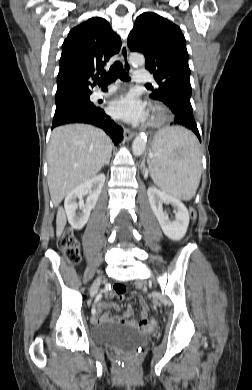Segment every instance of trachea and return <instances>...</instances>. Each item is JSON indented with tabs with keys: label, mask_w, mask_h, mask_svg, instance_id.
Returning a JSON list of instances; mask_svg holds the SVG:
<instances>
[{
	"label": "trachea",
	"mask_w": 252,
	"mask_h": 390,
	"mask_svg": "<svg viewBox=\"0 0 252 390\" xmlns=\"http://www.w3.org/2000/svg\"><path fill=\"white\" fill-rule=\"evenodd\" d=\"M117 78H120L123 81H129L130 78L128 74L124 71L122 64L117 61L115 62L109 72L105 75L103 79L97 81V84L100 87H106L108 84L114 82ZM146 86H151L150 84H146Z\"/></svg>",
	"instance_id": "1"
}]
</instances>
